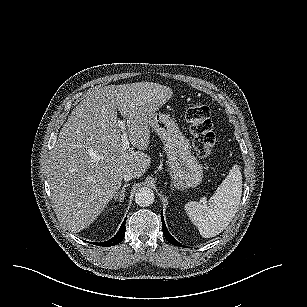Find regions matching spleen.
Listing matches in <instances>:
<instances>
[{
    "mask_svg": "<svg viewBox=\"0 0 307 307\" xmlns=\"http://www.w3.org/2000/svg\"><path fill=\"white\" fill-rule=\"evenodd\" d=\"M242 186L241 167L235 164L207 204L193 200L185 204L188 217L202 237H215L231 223L241 202Z\"/></svg>",
    "mask_w": 307,
    "mask_h": 307,
    "instance_id": "1",
    "label": "spleen"
}]
</instances>
